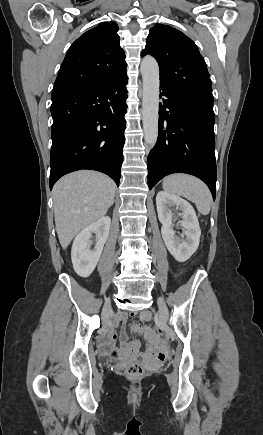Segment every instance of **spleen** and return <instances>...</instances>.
I'll use <instances>...</instances> for the list:
<instances>
[{
	"label": "spleen",
	"instance_id": "3e777b00",
	"mask_svg": "<svg viewBox=\"0 0 263 435\" xmlns=\"http://www.w3.org/2000/svg\"><path fill=\"white\" fill-rule=\"evenodd\" d=\"M162 185L165 191L192 201L201 214H209L212 196L208 187L200 179L187 174H172L163 180Z\"/></svg>",
	"mask_w": 263,
	"mask_h": 435
}]
</instances>
